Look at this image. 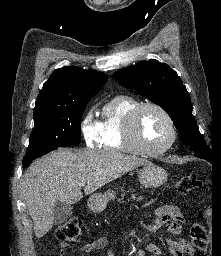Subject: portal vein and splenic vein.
I'll use <instances>...</instances> for the list:
<instances>
[{
    "label": "portal vein and splenic vein",
    "mask_w": 221,
    "mask_h": 256,
    "mask_svg": "<svg viewBox=\"0 0 221 256\" xmlns=\"http://www.w3.org/2000/svg\"><path fill=\"white\" fill-rule=\"evenodd\" d=\"M85 184H86L85 181H81V182L79 183L80 186H85Z\"/></svg>",
    "instance_id": "portal-vein-and-splenic-vein-1"
}]
</instances>
